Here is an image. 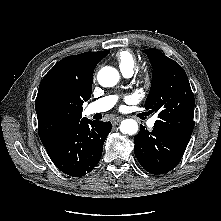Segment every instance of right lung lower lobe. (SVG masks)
<instances>
[{"instance_id": "right-lung-lower-lobe-1", "label": "right lung lower lobe", "mask_w": 221, "mask_h": 221, "mask_svg": "<svg viewBox=\"0 0 221 221\" xmlns=\"http://www.w3.org/2000/svg\"><path fill=\"white\" fill-rule=\"evenodd\" d=\"M111 128L110 122L85 119L43 142V145L60 171L81 177L98 164Z\"/></svg>"}]
</instances>
